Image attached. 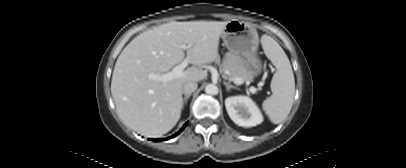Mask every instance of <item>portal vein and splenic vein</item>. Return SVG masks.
Here are the masks:
<instances>
[{
  "mask_svg": "<svg viewBox=\"0 0 406 168\" xmlns=\"http://www.w3.org/2000/svg\"><path fill=\"white\" fill-rule=\"evenodd\" d=\"M189 47H190V45H186V44L182 45V48L185 50L188 49ZM188 64H189V60L186 58V59H184V61L182 63H180L179 65L174 67L172 71L167 72L162 75H153L151 78L162 81L164 83L167 81L173 80L175 78H180L183 76V74H184L183 71L188 66ZM234 83L237 85H241L243 83V81L240 78H235ZM249 90L253 94H255L257 92V88H255L253 86L250 87Z\"/></svg>",
  "mask_w": 406,
  "mask_h": 168,
  "instance_id": "obj_1",
  "label": "portal vein and splenic vein"
}]
</instances>
